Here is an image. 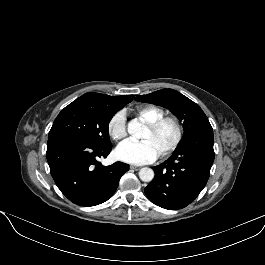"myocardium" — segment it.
<instances>
[{"instance_id":"myocardium-1","label":"myocardium","mask_w":265,"mask_h":265,"mask_svg":"<svg viewBox=\"0 0 265 265\" xmlns=\"http://www.w3.org/2000/svg\"><path fill=\"white\" fill-rule=\"evenodd\" d=\"M166 123H171L175 128V137L172 143L166 147L158 156L166 157L175 151L183 140L184 129L181 122L174 116H163L154 122L147 124V128L151 132H157Z\"/></svg>"}]
</instances>
